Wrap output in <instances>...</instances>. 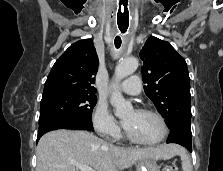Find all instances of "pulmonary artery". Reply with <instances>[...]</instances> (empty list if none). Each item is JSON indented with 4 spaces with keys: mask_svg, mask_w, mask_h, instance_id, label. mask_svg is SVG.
<instances>
[{
    "mask_svg": "<svg viewBox=\"0 0 223 171\" xmlns=\"http://www.w3.org/2000/svg\"><path fill=\"white\" fill-rule=\"evenodd\" d=\"M118 89L128 95H139L142 89L141 81L138 76L134 75L124 80Z\"/></svg>",
    "mask_w": 223,
    "mask_h": 171,
    "instance_id": "1",
    "label": "pulmonary artery"
}]
</instances>
